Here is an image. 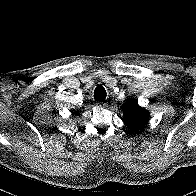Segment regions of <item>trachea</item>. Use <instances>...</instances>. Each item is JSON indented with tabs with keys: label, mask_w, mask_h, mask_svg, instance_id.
<instances>
[{
	"label": "trachea",
	"mask_w": 196,
	"mask_h": 196,
	"mask_svg": "<svg viewBox=\"0 0 196 196\" xmlns=\"http://www.w3.org/2000/svg\"><path fill=\"white\" fill-rule=\"evenodd\" d=\"M107 96L106 90L102 85H98L94 91V99L96 101H104Z\"/></svg>",
	"instance_id": "trachea-1"
}]
</instances>
